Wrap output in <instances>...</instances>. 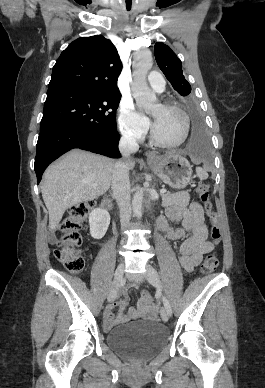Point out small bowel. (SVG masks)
Returning <instances> with one entry per match:
<instances>
[{
    "mask_svg": "<svg viewBox=\"0 0 265 388\" xmlns=\"http://www.w3.org/2000/svg\"><path fill=\"white\" fill-rule=\"evenodd\" d=\"M169 221L181 224L180 228L174 229L169 226ZM160 227L166 233L170 240H182L179 246V263L188 273L197 267L203 256L211 252L214 248L213 243L207 240V228L205 224L204 210L198 202H192L188 207L169 208L166 217L159 221ZM189 237L185 238L187 234ZM185 238V239H184ZM54 239V235L51 236ZM136 284H129L120 289L118 299L113 300L104 311V326L106 329L137 317L153 318L155 308L152 304L140 301L139 309L125 314V308L129 302V291L136 287ZM119 307L117 315L113 310Z\"/></svg>",
    "mask_w": 265,
    "mask_h": 388,
    "instance_id": "c3829d8e",
    "label": "small bowel"
}]
</instances>
